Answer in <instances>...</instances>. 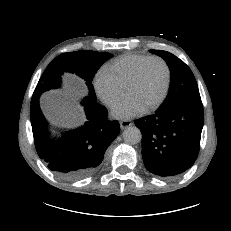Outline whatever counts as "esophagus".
<instances>
[{"label":"esophagus","instance_id":"obj_1","mask_svg":"<svg viewBox=\"0 0 231 231\" xmlns=\"http://www.w3.org/2000/svg\"><path fill=\"white\" fill-rule=\"evenodd\" d=\"M132 122L130 120H122L120 121V128L122 130L126 129L127 127L131 126Z\"/></svg>","mask_w":231,"mask_h":231}]
</instances>
